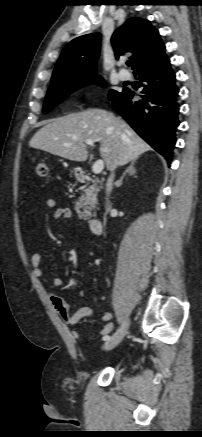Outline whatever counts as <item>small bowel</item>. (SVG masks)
<instances>
[{
  "label": "small bowel",
  "instance_id": "1",
  "mask_svg": "<svg viewBox=\"0 0 202 437\" xmlns=\"http://www.w3.org/2000/svg\"><path fill=\"white\" fill-rule=\"evenodd\" d=\"M46 206L54 209V218L56 220H64L73 217V212L67 207H57V201L54 198H48L46 200ZM31 266L33 275L40 279L43 278L44 272L42 269V255L38 252H34L31 256ZM63 284L61 277L56 276L53 279V285L60 287ZM50 303L55 312L63 319L65 324L69 327H75L83 318H91L93 311L90 307H81L78 310L72 312L69 305L58 295L49 293ZM104 326L100 330V334L103 336L108 335L113 329V315L110 312H104L102 315ZM73 338H79L80 333L77 330L71 332Z\"/></svg>",
  "mask_w": 202,
  "mask_h": 437
}]
</instances>
